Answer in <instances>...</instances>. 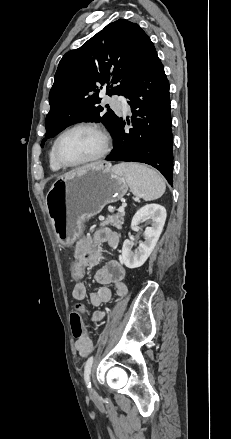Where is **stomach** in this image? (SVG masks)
Here are the masks:
<instances>
[{"instance_id": "0dacf381", "label": "stomach", "mask_w": 231, "mask_h": 439, "mask_svg": "<svg viewBox=\"0 0 231 439\" xmlns=\"http://www.w3.org/2000/svg\"><path fill=\"white\" fill-rule=\"evenodd\" d=\"M128 191L125 177L110 163L96 165L57 179L46 195V207L57 241L72 245L81 235L83 223Z\"/></svg>"}]
</instances>
